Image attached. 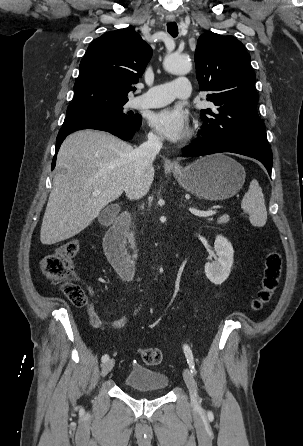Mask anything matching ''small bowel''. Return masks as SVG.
<instances>
[{
  "instance_id": "c3829d8e",
  "label": "small bowel",
  "mask_w": 303,
  "mask_h": 446,
  "mask_svg": "<svg viewBox=\"0 0 303 446\" xmlns=\"http://www.w3.org/2000/svg\"><path fill=\"white\" fill-rule=\"evenodd\" d=\"M89 294H91V291L89 290ZM87 313L89 316V320L91 322V324L98 329H103V328H119L122 327L123 325H125L127 323V321L129 320L128 316H125L119 320H116L112 323H104L101 318L99 317V315L97 314V312L94 309V306L92 304V302L90 301L87 304Z\"/></svg>"
}]
</instances>
